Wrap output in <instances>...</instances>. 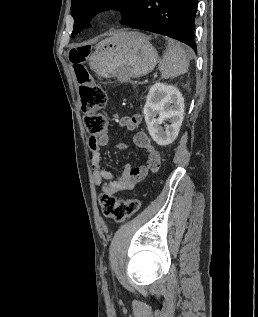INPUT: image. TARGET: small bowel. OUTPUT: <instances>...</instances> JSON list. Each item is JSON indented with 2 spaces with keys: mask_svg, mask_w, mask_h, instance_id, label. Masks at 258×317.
<instances>
[{
  "mask_svg": "<svg viewBox=\"0 0 258 317\" xmlns=\"http://www.w3.org/2000/svg\"><path fill=\"white\" fill-rule=\"evenodd\" d=\"M142 117L139 114L124 116L118 119L120 127L129 131H134L140 127ZM109 134L92 135L89 138L90 163L93 170V181L102 193L114 195L117 192L131 190L136 184L141 182L149 173H155L160 167V154L153 146L149 136L142 131L133 136V143L145 150L147 160L145 165L132 168L126 164L119 176H114L112 172L106 170L102 165L101 149L108 143ZM127 144L119 143L121 149L127 148Z\"/></svg>",
  "mask_w": 258,
  "mask_h": 317,
  "instance_id": "c3829d8e",
  "label": "small bowel"
}]
</instances>
